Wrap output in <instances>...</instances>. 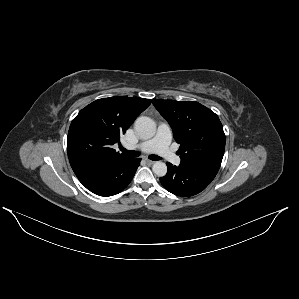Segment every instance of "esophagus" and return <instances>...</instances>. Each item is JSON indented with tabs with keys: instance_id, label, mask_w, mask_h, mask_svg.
Here are the masks:
<instances>
[{
	"instance_id": "34e87169",
	"label": "esophagus",
	"mask_w": 299,
	"mask_h": 299,
	"mask_svg": "<svg viewBox=\"0 0 299 299\" xmlns=\"http://www.w3.org/2000/svg\"><path fill=\"white\" fill-rule=\"evenodd\" d=\"M145 162H146L148 165H152V164L155 163L154 161L149 160V159H145Z\"/></svg>"
}]
</instances>
